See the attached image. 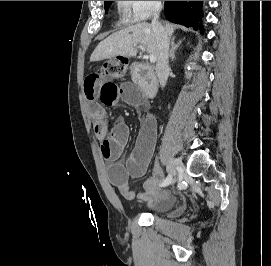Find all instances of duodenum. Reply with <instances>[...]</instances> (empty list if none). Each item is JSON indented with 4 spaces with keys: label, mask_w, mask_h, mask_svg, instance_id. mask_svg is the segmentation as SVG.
Masks as SVG:
<instances>
[{
    "label": "duodenum",
    "mask_w": 271,
    "mask_h": 266,
    "mask_svg": "<svg viewBox=\"0 0 271 266\" xmlns=\"http://www.w3.org/2000/svg\"><path fill=\"white\" fill-rule=\"evenodd\" d=\"M132 80L139 86L142 91L150 98L156 96L158 92V79L154 70L141 63L135 62L131 72Z\"/></svg>",
    "instance_id": "410a0bca"
}]
</instances>
